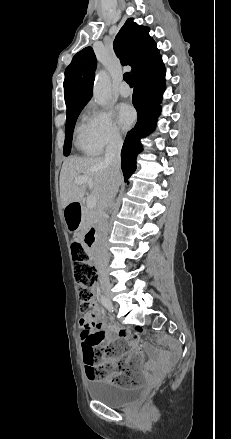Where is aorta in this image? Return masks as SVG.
Returning a JSON list of instances; mask_svg holds the SVG:
<instances>
[{
  "instance_id": "obj_1",
  "label": "aorta",
  "mask_w": 231,
  "mask_h": 439,
  "mask_svg": "<svg viewBox=\"0 0 231 439\" xmlns=\"http://www.w3.org/2000/svg\"><path fill=\"white\" fill-rule=\"evenodd\" d=\"M111 96V86L108 74L101 70L96 74L93 97L97 104L103 106L107 103Z\"/></svg>"
}]
</instances>
